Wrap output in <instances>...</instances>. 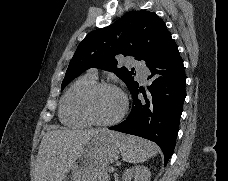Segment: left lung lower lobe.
Masks as SVG:
<instances>
[{
    "label": "left lung lower lobe",
    "mask_w": 228,
    "mask_h": 181,
    "mask_svg": "<svg viewBox=\"0 0 228 181\" xmlns=\"http://www.w3.org/2000/svg\"><path fill=\"white\" fill-rule=\"evenodd\" d=\"M146 66L151 72L147 79H153L148 91L138 83L131 88L133 106L130 114L109 129L154 141L161 148L166 165L175 148L186 96L183 61L172 37L163 42L146 61Z\"/></svg>",
    "instance_id": "1"
}]
</instances>
